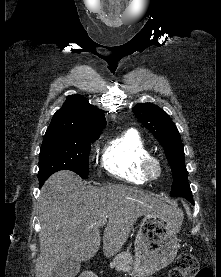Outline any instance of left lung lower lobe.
Returning a JSON list of instances; mask_svg holds the SVG:
<instances>
[{"label": "left lung lower lobe", "instance_id": "1", "mask_svg": "<svg viewBox=\"0 0 221 277\" xmlns=\"http://www.w3.org/2000/svg\"><path fill=\"white\" fill-rule=\"evenodd\" d=\"M186 199L189 200L192 204H194L192 195L187 196Z\"/></svg>", "mask_w": 221, "mask_h": 277}]
</instances>
